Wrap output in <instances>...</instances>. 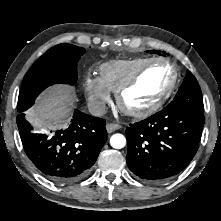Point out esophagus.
I'll return each mask as SVG.
<instances>
[{"mask_svg":"<svg viewBox=\"0 0 221 221\" xmlns=\"http://www.w3.org/2000/svg\"><path fill=\"white\" fill-rule=\"evenodd\" d=\"M121 128V125L116 123H108L106 125V129L108 133H112L113 131L119 130Z\"/></svg>","mask_w":221,"mask_h":221,"instance_id":"1","label":"esophagus"}]
</instances>
